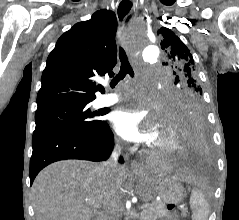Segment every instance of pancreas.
Returning <instances> with one entry per match:
<instances>
[{"mask_svg": "<svg viewBox=\"0 0 239 220\" xmlns=\"http://www.w3.org/2000/svg\"><path fill=\"white\" fill-rule=\"evenodd\" d=\"M169 212L162 201H153L141 213L140 220H158L167 217ZM182 215H185L183 210Z\"/></svg>", "mask_w": 239, "mask_h": 220, "instance_id": "cf45deb5", "label": "pancreas"}]
</instances>
